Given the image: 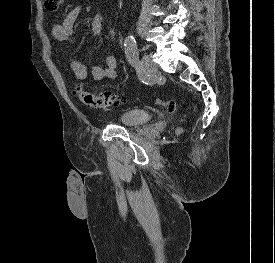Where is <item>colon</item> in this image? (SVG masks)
Returning a JSON list of instances; mask_svg holds the SVG:
<instances>
[{
    "mask_svg": "<svg viewBox=\"0 0 275 263\" xmlns=\"http://www.w3.org/2000/svg\"><path fill=\"white\" fill-rule=\"evenodd\" d=\"M62 0H44L45 8L48 11H58ZM75 96L85 105L94 108H110L119 106L125 102V97L117 94L101 93L95 94L88 91L83 84H75L73 86ZM157 104L163 106L167 111L174 112L177 110V104L172 100H157Z\"/></svg>",
    "mask_w": 275,
    "mask_h": 263,
    "instance_id": "5ec220e1",
    "label": "colon"
}]
</instances>
